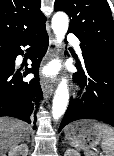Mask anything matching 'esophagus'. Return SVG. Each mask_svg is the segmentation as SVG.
Here are the masks:
<instances>
[{"instance_id": "obj_1", "label": "esophagus", "mask_w": 114, "mask_h": 156, "mask_svg": "<svg viewBox=\"0 0 114 156\" xmlns=\"http://www.w3.org/2000/svg\"><path fill=\"white\" fill-rule=\"evenodd\" d=\"M57 40L52 36L49 41V48L45 56V63L51 58L55 57L57 54ZM56 82L54 79H48L46 77L41 78V87L44 93L45 98H48L54 90Z\"/></svg>"}]
</instances>
